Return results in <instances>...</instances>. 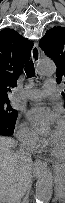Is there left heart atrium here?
Masks as SVG:
<instances>
[{
  "label": "left heart atrium",
  "instance_id": "1",
  "mask_svg": "<svg viewBox=\"0 0 65 203\" xmlns=\"http://www.w3.org/2000/svg\"><path fill=\"white\" fill-rule=\"evenodd\" d=\"M28 118L38 132L52 137L62 126V121L56 112L45 107H36L28 112Z\"/></svg>",
  "mask_w": 65,
  "mask_h": 203
}]
</instances>
